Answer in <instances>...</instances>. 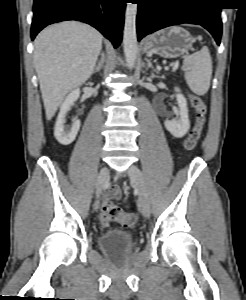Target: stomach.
I'll return each mask as SVG.
<instances>
[{
	"instance_id": "1",
	"label": "stomach",
	"mask_w": 246,
	"mask_h": 300,
	"mask_svg": "<svg viewBox=\"0 0 246 300\" xmlns=\"http://www.w3.org/2000/svg\"><path fill=\"white\" fill-rule=\"evenodd\" d=\"M193 41L192 35L186 29L172 26L150 35L144 43V50L148 55L158 54L173 58L187 53Z\"/></svg>"
}]
</instances>
